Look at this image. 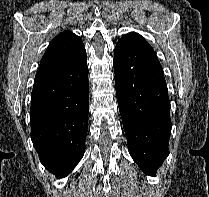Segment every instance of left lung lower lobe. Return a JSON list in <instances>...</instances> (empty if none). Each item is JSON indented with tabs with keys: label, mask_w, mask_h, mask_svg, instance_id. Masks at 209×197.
Returning <instances> with one entry per match:
<instances>
[{
	"label": "left lung lower lobe",
	"mask_w": 209,
	"mask_h": 197,
	"mask_svg": "<svg viewBox=\"0 0 209 197\" xmlns=\"http://www.w3.org/2000/svg\"><path fill=\"white\" fill-rule=\"evenodd\" d=\"M114 72L129 153L145 174H155L169 154L171 128L162 66L152 48L118 42Z\"/></svg>",
	"instance_id": "left-lung-lower-lobe-1"
}]
</instances>
